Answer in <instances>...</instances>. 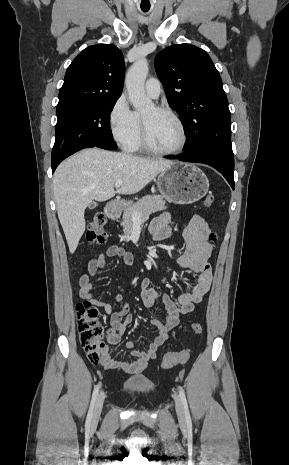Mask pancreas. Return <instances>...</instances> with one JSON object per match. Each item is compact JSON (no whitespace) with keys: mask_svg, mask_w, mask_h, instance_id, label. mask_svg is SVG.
Returning <instances> with one entry per match:
<instances>
[{"mask_svg":"<svg viewBox=\"0 0 289 465\" xmlns=\"http://www.w3.org/2000/svg\"><path fill=\"white\" fill-rule=\"evenodd\" d=\"M167 207L165 206V200L157 195H147L140 199L133 205L125 208L122 217V226L124 235H121V240H127L134 226L133 215L135 213L140 215V222L146 220L152 213L163 211Z\"/></svg>","mask_w":289,"mask_h":465,"instance_id":"cf45deb5","label":"pancreas"}]
</instances>
